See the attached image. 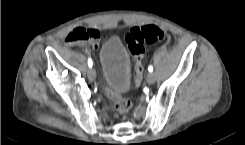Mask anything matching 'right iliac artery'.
<instances>
[{"label": "right iliac artery", "mask_w": 245, "mask_h": 145, "mask_svg": "<svg viewBox=\"0 0 245 145\" xmlns=\"http://www.w3.org/2000/svg\"><path fill=\"white\" fill-rule=\"evenodd\" d=\"M92 65H93V62H92L91 58H89V59H88V66L91 68Z\"/></svg>", "instance_id": "right-iliac-artery-1"}]
</instances>
